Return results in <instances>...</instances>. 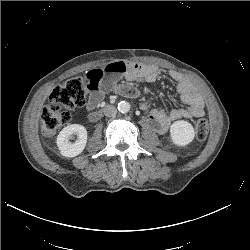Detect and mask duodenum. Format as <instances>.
<instances>
[{"label": "duodenum", "instance_id": "1", "mask_svg": "<svg viewBox=\"0 0 250 250\" xmlns=\"http://www.w3.org/2000/svg\"><path fill=\"white\" fill-rule=\"evenodd\" d=\"M101 116V111H95V112H92L90 115H89V120L91 122H96Z\"/></svg>", "mask_w": 250, "mask_h": 250}]
</instances>
